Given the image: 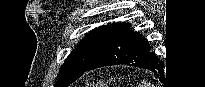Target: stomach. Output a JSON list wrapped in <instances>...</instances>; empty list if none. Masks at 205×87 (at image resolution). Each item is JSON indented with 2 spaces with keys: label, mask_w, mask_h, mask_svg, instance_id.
I'll list each match as a JSON object with an SVG mask.
<instances>
[{
  "label": "stomach",
  "mask_w": 205,
  "mask_h": 87,
  "mask_svg": "<svg viewBox=\"0 0 205 87\" xmlns=\"http://www.w3.org/2000/svg\"><path fill=\"white\" fill-rule=\"evenodd\" d=\"M104 85H106L105 83H102L100 86L103 87Z\"/></svg>",
  "instance_id": "obj_1"
}]
</instances>
